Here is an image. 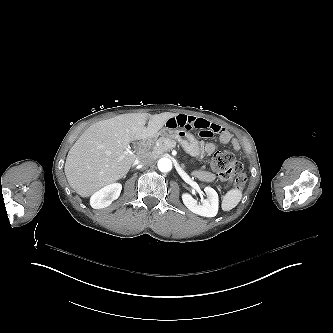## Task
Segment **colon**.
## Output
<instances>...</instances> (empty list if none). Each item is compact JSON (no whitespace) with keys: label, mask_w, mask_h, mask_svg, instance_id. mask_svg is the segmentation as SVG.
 I'll return each mask as SVG.
<instances>
[{"label":"colon","mask_w":333,"mask_h":333,"mask_svg":"<svg viewBox=\"0 0 333 333\" xmlns=\"http://www.w3.org/2000/svg\"><path fill=\"white\" fill-rule=\"evenodd\" d=\"M231 151L224 149L212 154L210 167L216 172L217 178L223 183L226 189L233 187L241 188L246 180L243 165L236 162Z\"/></svg>","instance_id":"colon-1"}]
</instances>
